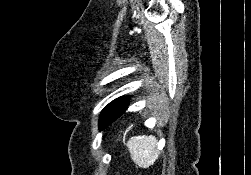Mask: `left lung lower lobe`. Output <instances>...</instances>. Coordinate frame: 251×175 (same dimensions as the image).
<instances>
[{"instance_id":"left-lung-lower-lobe-1","label":"left lung lower lobe","mask_w":251,"mask_h":175,"mask_svg":"<svg viewBox=\"0 0 251 175\" xmlns=\"http://www.w3.org/2000/svg\"><path fill=\"white\" fill-rule=\"evenodd\" d=\"M128 104L129 102L123 105L117 103L110 104L103 110L100 118L103 119L106 124H111L125 113Z\"/></svg>"}]
</instances>
